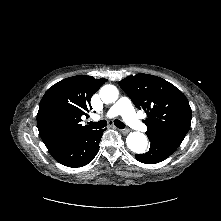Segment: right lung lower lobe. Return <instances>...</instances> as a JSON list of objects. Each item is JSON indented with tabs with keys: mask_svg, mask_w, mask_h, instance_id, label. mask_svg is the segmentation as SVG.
<instances>
[{
	"mask_svg": "<svg viewBox=\"0 0 221 221\" xmlns=\"http://www.w3.org/2000/svg\"><path fill=\"white\" fill-rule=\"evenodd\" d=\"M103 130H89L50 151L61 164L77 168L90 163L99 150Z\"/></svg>",
	"mask_w": 221,
	"mask_h": 221,
	"instance_id": "right-lung-lower-lobe-1",
	"label": "right lung lower lobe"
}]
</instances>
